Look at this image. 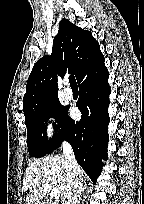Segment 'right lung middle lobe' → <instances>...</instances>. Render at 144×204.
Returning <instances> with one entry per match:
<instances>
[{"mask_svg":"<svg viewBox=\"0 0 144 204\" xmlns=\"http://www.w3.org/2000/svg\"><path fill=\"white\" fill-rule=\"evenodd\" d=\"M68 107L62 106L58 99L49 102L25 118L27 126V146L30 157H43L50 153L52 146L58 141L61 135L55 133L54 137L48 141L46 133V123L49 118H56L59 128L62 127L67 117Z\"/></svg>","mask_w":144,"mask_h":204,"instance_id":"1","label":"right lung middle lobe"}]
</instances>
